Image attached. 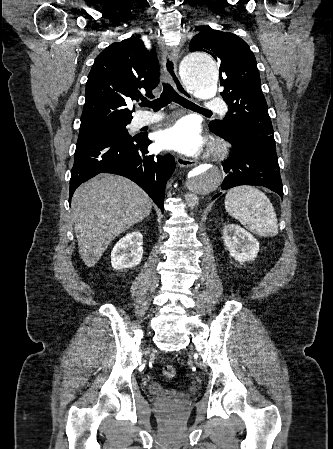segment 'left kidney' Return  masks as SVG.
<instances>
[{
    "mask_svg": "<svg viewBox=\"0 0 333 449\" xmlns=\"http://www.w3.org/2000/svg\"><path fill=\"white\" fill-rule=\"evenodd\" d=\"M224 244L238 262L253 260L259 252L256 238L237 224H229L223 230Z\"/></svg>",
    "mask_w": 333,
    "mask_h": 449,
    "instance_id": "1",
    "label": "left kidney"
}]
</instances>
